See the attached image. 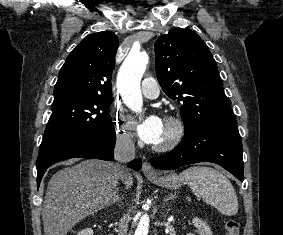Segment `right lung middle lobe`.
I'll return each mask as SVG.
<instances>
[{
  "instance_id": "obj_1",
  "label": "right lung middle lobe",
  "mask_w": 283,
  "mask_h": 235,
  "mask_svg": "<svg viewBox=\"0 0 283 235\" xmlns=\"http://www.w3.org/2000/svg\"><path fill=\"white\" fill-rule=\"evenodd\" d=\"M111 97H72L53 103L39 155L81 137H94L114 129L108 109Z\"/></svg>"
}]
</instances>
